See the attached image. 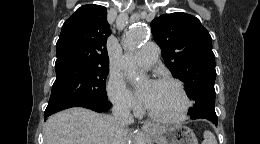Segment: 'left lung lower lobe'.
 Instances as JSON below:
<instances>
[{
    "mask_svg": "<svg viewBox=\"0 0 260 144\" xmlns=\"http://www.w3.org/2000/svg\"><path fill=\"white\" fill-rule=\"evenodd\" d=\"M195 119H207L209 121H211L214 124H218V120H217V116L216 115H203L199 118H195Z\"/></svg>",
    "mask_w": 260,
    "mask_h": 144,
    "instance_id": "1",
    "label": "left lung lower lobe"
}]
</instances>
